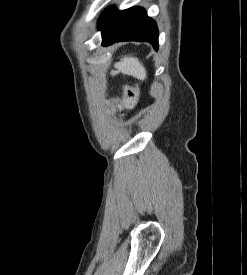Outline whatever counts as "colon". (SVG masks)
Wrapping results in <instances>:
<instances>
[{"mask_svg":"<svg viewBox=\"0 0 247 275\" xmlns=\"http://www.w3.org/2000/svg\"><path fill=\"white\" fill-rule=\"evenodd\" d=\"M139 101V90L134 84L125 86L124 96L122 99L112 98L108 101L111 112H123L132 110L136 107Z\"/></svg>","mask_w":247,"mask_h":275,"instance_id":"5ec220e1","label":"colon"}]
</instances>
